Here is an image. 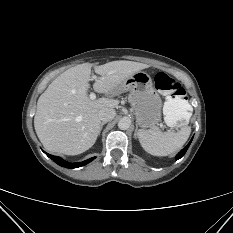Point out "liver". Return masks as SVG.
I'll use <instances>...</instances> for the list:
<instances>
[{
	"instance_id": "6515ba94",
	"label": "liver",
	"mask_w": 233,
	"mask_h": 233,
	"mask_svg": "<svg viewBox=\"0 0 233 233\" xmlns=\"http://www.w3.org/2000/svg\"><path fill=\"white\" fill-rule=\"evenodd\" d=\"M100 77L93 88L98 93H112L132 74L149 66L132 61H112L94 66L83 63L55 78L39 97L34 117L36 134L50 152L78 155L96 142L102 109H114L119 101L111 98L91 100L88 97L91 69Z\"/></svg>"
}]
</instances>
